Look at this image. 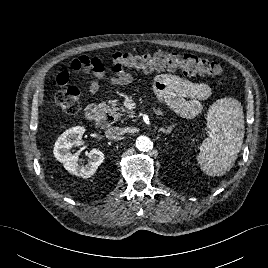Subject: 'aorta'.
<instances>
[{"label": "aorta", "mask_w": 268, "mask_h": 268, "mask_svg": "<svg viewBox=\"0 0 268 268\" xmlns=\"http://www.w3.org/2000/svg\"><path fill=\"white\" fill-rule=\"evenodd\" d=\"M136 147L139 151L147 152L152 149L153 142L147 136H139L136 139Z\"/></svg>", "instance_id": "1"}]
</instances>
